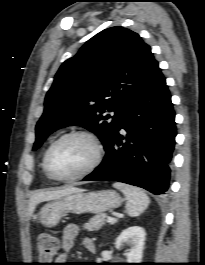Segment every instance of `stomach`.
I'll return each mask as SVG.
<instances>
[{
    "label": "stomach",
    "instance_id": "0dacf381",
    "mask_svg": "<svg viewBox=\"0 0 205 265\" xmlns=\"http://www.w3.org/2000/svg\"><path fill=\"white\" fill-rule=\"evenodd\" d=\"M121 202L120 195L113 190L72 193L45 204L39 212V222L52 228L67 213L102 214L111 208L119 207Z\"/></svg>",
    "mask_w": 205,
    "mask_h": 265
}]
</instances>
